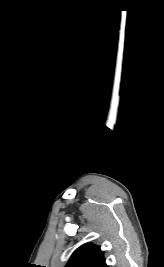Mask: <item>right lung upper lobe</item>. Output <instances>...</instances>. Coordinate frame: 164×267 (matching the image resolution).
<instances>
[{
    "mask_svg": "<svg viewBox=\"0 0 164 267\" xmlns=\"http://www.w3.org/2000/svg\"><path fill=\"white\" fill-rule=\"evenodd\" d=\"M103 252L97 245L84 244L72 254L65 267H104Z\"/></svg>",
    "mask_w": 164,
    "mask_h": 267,
    "instance_id": "cb5924a9",
    "label": "right lung upper lobe"
}]
</instances>
